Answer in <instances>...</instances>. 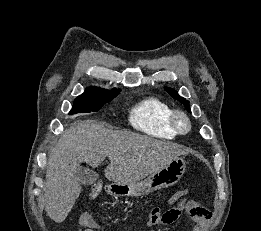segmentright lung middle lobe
I'll list each match as a JSON object with an SVG mask.
<instances>
[{
    "instance_id": "1",
    "label": "right lung middle lobe",
    "mask_w": 261,
    "mask_h": 231,
    "mask_svg": "<svg viewBox=\"0 0 261 231\" xmlns=\"http://www.w3.org/2000/svg\"><path fill=\"white\" fill-rule=\"evenodd\" d=\"M118 94L119 92L92 96L80 95L75 99L74 105L69 114L96 112Z\"/></svg>"
}]
</instances>
